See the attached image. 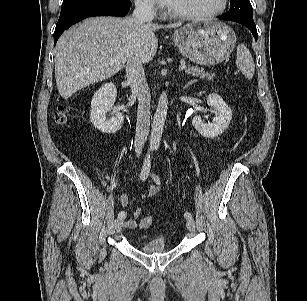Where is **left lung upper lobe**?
<instances>
[{"instance_id": "5c2ea615", "label": "left lung upper lobe", "mask_w": 307, "mask_h": 301, "mask_svg": "<svg viewBox=\"0 0 307 301\" xmlns=\"http://www.w3.org/2000/svg\"><path fill=\"white\" fill-rule=\"evenodd\" d=\"M230 5L229 11L223 17L253 21L252 6L249 0H231Z\"/></svg>"}]
</instances>
